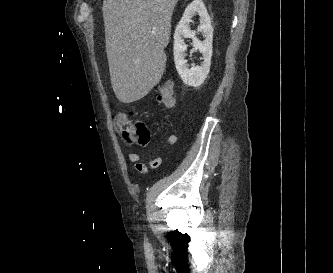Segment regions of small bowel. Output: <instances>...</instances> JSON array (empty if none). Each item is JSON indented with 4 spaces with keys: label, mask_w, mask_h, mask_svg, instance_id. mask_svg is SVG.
I'll list each match as a JSON object with an SVG mask.
<instances>
[{
    "label": "small bowel",
    "mask_w": 333,
    "mask_h": 273,
    "mask_svg": "<svg viewBox=\"0 0 333 273\" xmlns=\"http://www.w3.org/2000/svg\"><path fill=\"white\" fill-rule=\"evenodd\" d=\"M177 141H178V137L174 134H171L167 137L166 144H167V146L171 147V146H174L177 143ZM127 158L129 159V161H131L135 164L142 162L141 156L135 152H129L127 154ZM161 161H162L161 157L158 156L154 159L149 160L148 164L152 167H157L160 165Z\"/></svg>",
    "instance_id": "c3829d8e"
}]
</instances>
